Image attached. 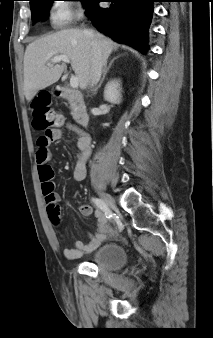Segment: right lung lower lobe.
Segmentation results:
<instances>
[{
    "label": "right lung lower lobe",
    "instance_id": "98d812e1",
    "mask_svg": "<svg viewBox=\"0 0 213 338\" xmlns=\"http://www.w3.org/2000/svg\"><path fill=\"white\" fill-rule=\"evenodd\" d=\"M159 0H94L86 14L98 31L115 41L130 45L142 53L149 48L148 30L153 3ZM100 2H109L107 8Z\"/></svg>",
    "mask_w": 213,
    "mask_h": 338
}]
</instances>
